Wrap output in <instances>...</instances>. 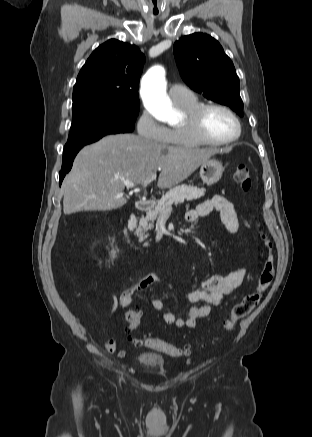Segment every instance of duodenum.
Returning a JSON list of instances; mask_svg holds the SVG:
<instances>
[{
  "mask_svg": "<svg viewBox=\"0 0 312 437\" xmlns=\"http://www.w3.org/2000/svg\"><path fill=\"white\" fill-rule=\"evenodd\" d=\"M153 201L149 198L138 199L135 203L136 212L144 211L152 205ZM137 226V215L133 213L127 219L124 227V236L129 244L142 250V247L135 241L134 232Z\"/></svg>",
  "mask_w": 312,
  "mask_h": 437,
  "instance_id": "duodenum-1",
  "label": "duodenum"
}]
</instances>
